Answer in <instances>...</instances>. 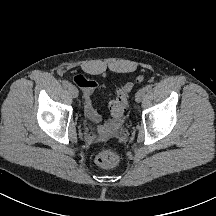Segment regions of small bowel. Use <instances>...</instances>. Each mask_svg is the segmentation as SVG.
Returning a JSON list of instances; mask_svg holds the SVG:
<instances>
[{
  "label": "small bowel",
  "instance_id": "c3829d8e",
  "mask_svg": "<svg viewBox=\"0 0 216 216\" xmlns=\"http://www.w3.org/2000/svg\"><path fill=\"white\" fill-rule=\"evenodd\" d=\"M79 77V78H77ZM75 83L81 88L85 100V115L92 122H99L102 119L101 113L94 106L92 96L98 89V84L89 78L82 75H77L74 78ZM117 129V121L111 118L109 122L98 128L94 134L99 137H104L112 134Z\"/></svg>",
  "mask_w": 216,
  "mask_h": 216
}]
</instances>
